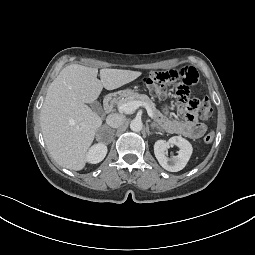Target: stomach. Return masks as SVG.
<instances>
[{"label":"stomach","instance_id":"0dacf381","mask_svg":"<svg viewBox=\"0 0 255 255\" xmlns=\"http://www.w3.org/2000/svg\"><path fill=\"white\" fill-rule=\"evenodd\" d=\"M123 94L128 96V95L133 94V91L132 90H126V91L123 92Z\"/></svg>","mask_w":255,"mask_h":255}]
</instances>
